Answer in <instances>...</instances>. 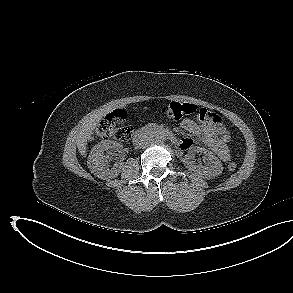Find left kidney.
<instances>
[{
	"label": "left kidney",
	"mask_w": 293,
	"mask_h": 293,
	"mask_svg": "<svg viewBox=\"0 0 293 293\" xmlns=\"http://www.w3.org/2000/svg\"><path fill=\"white\" fill-rule=\"evenodd\" d=\"M194 153H203L207 157V165L196 164L192 158ZM184 164L190 170L195 172L199 177L214 178L219 176L222 171V163L211 151L202 147H193L191 151L185 155Z\"/></svg>",
	"instance_id": "obj_1"
}]
</instances>
